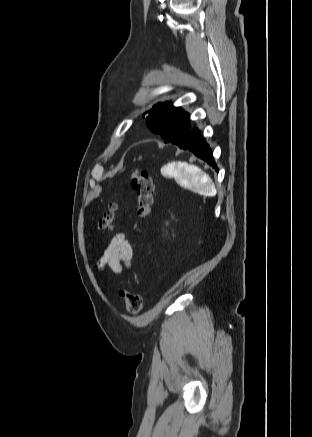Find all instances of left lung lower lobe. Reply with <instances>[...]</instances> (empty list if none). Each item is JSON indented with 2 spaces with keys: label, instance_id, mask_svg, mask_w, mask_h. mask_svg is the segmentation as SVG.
Listing matches in <instances>:
<instances>
[{
  "label": "left lung lower lobe",
  "instance_id": "left-lung-lower-lobe-1",
  "mask_svg": "<svg viewBox=\"0 0 312 437\" xmlns=\"http://www.w3.org/2000/svg\"><path fill=\"white\" fill-rule=\"evenodd\" d=\"M179 148L193 152L197 157L206 161L209 165L217 170L212 152L198 128H193L181 139L173 142Z\"/></svg>",
  "mask_w": 312,
  "mask_h": 437
}]
</instances>
